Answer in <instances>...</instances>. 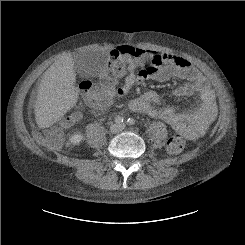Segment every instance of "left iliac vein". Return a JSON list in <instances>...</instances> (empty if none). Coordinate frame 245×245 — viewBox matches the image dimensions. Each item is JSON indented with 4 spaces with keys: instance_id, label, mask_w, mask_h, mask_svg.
Listing matches in <instances>:
<instances>
[{
    "instance_id": "left-iliac-vein-1",
    "label": "left iliac vein",
    "mask_w": 245,
    "mask_h": 245,
    "mask_svg": "<svg viewBox=\"0 0 245 245\" xmlns=\"http://www.w3.org/2000/svg\"><path fill=\"white\" fill-rule=\"evenodd\" d=\"M119 127H120V130H124L126 126L125 124H121Z\"/></svg>"
}]
</instances>
